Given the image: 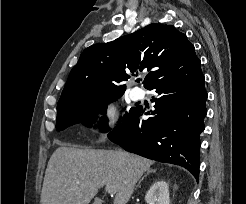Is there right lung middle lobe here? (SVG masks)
Returning a JSON list of instances; mask_svg holds the SVG:
<instances>
[{
    "label": "right lung middle lobe",
    "mask_w": 246,
    "mask_h": 204,
    "mask_svg": "<svg viewBox=\"0 0 246 204\" xmlns=\"http://www.w3.org/2000/svg\"><path fill=\"white\" fill-rule=\"evenodd\" d=\"M122 94H92L59 101L57 104L56 129L63 130L77 123L91 127L92 123L95 122L96 113H105L107 104L121 97ZM134 109L135 107L125 113L124 120ZM101 121L106 122V118L104 117ZM108 130L109 128L104 126V131Z\"/></svg>",
    "instance_id": "dd1d6c3e"
}]
</instances>
